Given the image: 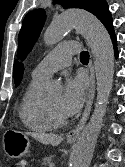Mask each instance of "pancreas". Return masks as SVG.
Listing matches in <instances>:
<instances>
[{
    "label": "pancreas",
    "mask_w": 125,
    "mask_h": 167,
    "mask_svg": "<svg viewBox=\"0 0 125 167\" xmlns=\"http://www.w3.org/2000/svg\"><path fill=\"white\" fill-rule=\"evenodd\" d=\"M53 158H54V156L45 157V158L43 159V163H42L43 166H44V167L49 166V165L52 163Z\"/></svg>",
    "instance_id": "pancreas-1"
}]
</instances>
